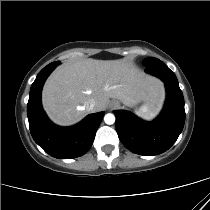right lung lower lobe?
Wrapping results in <instances>:
<instances>
[{
	"mask_svg": "<svg viewBox=\"0 0 210 210\" xmlns=\"http://www.w3.org/2000/svg\"><path fill=\"white\" fill-rule=\"evenodd\" d=\"M59 64V61L52 62L37 75L30 89L27 115L34 141L55 158L71 159L90 149L104 113L90 114L72 127L56 126L47 118L41 105V91L46 78Z\"/></svg>",
	"mask_w": 210,
	"mask_h": 210,
	"instance_id": "98d812e1",
	"label": "right lung lower lobe"
}]
</instances>
